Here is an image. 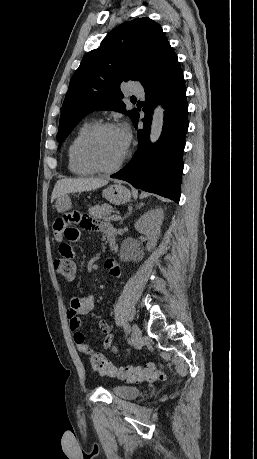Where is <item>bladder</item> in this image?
I'll return each mask as SVG.
<instances>
[{"label": "bladder", "mask_w": 257, "mask_h": 459, "mask_svg": "<svg viewBox=\"0 0 257 459\" xmlns=\"http://www.w3.org/2000/svg\"><path fill=\"white\" fill-rule=\"evenodd\" d=\"M112 393L120 398L133 399L140 395L141 389L137 386L119 385L112 389Z\"/></svg>", "instance_id": "1"}]
</instances>
